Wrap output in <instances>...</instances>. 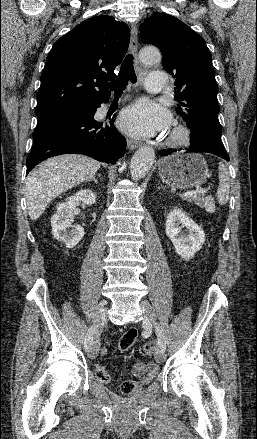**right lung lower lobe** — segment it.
I'll return each mask as SVG.
<instances>
[{"label":"right lung lower lobe","mask_w":257,"mask_h":439,"mask_svg":"<svg viewBox=\"0 0 257 439\" xmlns=\"http://www.w3.org/2000/svg\"><path fill=\"white\" fill-rule=\"evenodd\" d=\"M100 105L62 110L37 118L26 174L43 160L68 153L115 164L126 152V140L113 125L115 117L104 121L94 119Z\"/></svg>","instance_id":"1"}]
</instances>
